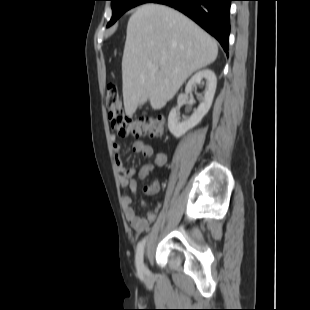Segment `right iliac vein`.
I'll list each match as a JSON object with an SVG mask.
<instances>
[{
  "mask_svg": "<svg viewBox=\"0 0 310 310\" xmlns=\"http://www.w3.org/2000/svg\"><path fill=\"white\" fill-rule=\"evenodd\" d=\"M143 275H144L146 278H149V277L151 276L150 271H149V269L147 268V266L144 267Z\"/></svg>",
  "mask_w": 310,
  "mask_h": 310,
  "instance_id": "1",
  "label": "right iliac vein"
}]
</instances>
